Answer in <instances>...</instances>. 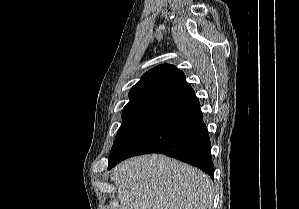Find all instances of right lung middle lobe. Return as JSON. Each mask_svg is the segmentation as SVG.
I'll use <instances>...</instances> for the list:
<instances>
[{
	"label": "right lung middle lobe",
	"instance_id": "right-lung-middle-lobe-1",
	"mask_svg": "<svg viewBox=\"0 0 299 209\" xmlns=\"http://www.w3.org/2000/svg\"><path fill=\"white\" fill-rule=\"evenodd\" d=\"M159 104L140 103L127 105L122 112V125L117 132L108 161L113 159L137 133Z\"/></svg>",
	"mask_w": 299,
	"mask_h": 209
}]
</instances>
